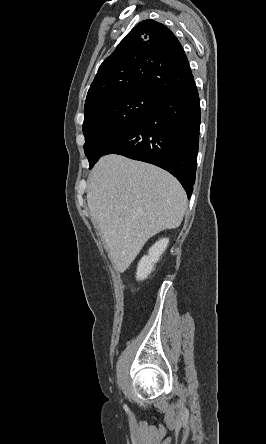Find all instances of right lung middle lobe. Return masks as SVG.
I'll return each mask as SVG.
<instances>
[{
    "mask_svg": "<svg viewBox=\"0 0 266 444\" xmlns=\"http://www.w3.org/2000/svg\"><path fill=\"white\" fill-rule=\"evenodd\" d=\"M159 97L145 91L124 92L106 98L84 111V151L90 169L107 145L136 126L153 109Z\"/></svg>",
    "mask_w": 266,
    "mask_h": 444,
    "instance_id": "right-lung-middle-lobe-1",
    "label": "right lung middle lobe"
}]
</instances>
